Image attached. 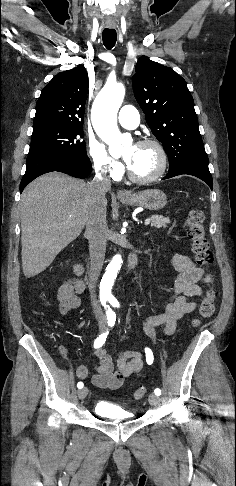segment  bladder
<instances>
[{
    "mask_svg": "<svg viewBox=\"0 0 236 486\" xmlns=\"http://www.w3.org/2000/svg\"><path fill=\"white\" fill-rule=\"evenodd\" d=\"M94 412L102 418L111 420L127 421L134 418L132 412L106 401L98 402L94 407Z\"/></svg>",
    "mask_w": 236,
    "mask_h": 486,
    "instance_id": "1",
    "label": "bladder"
}]
</instances>
